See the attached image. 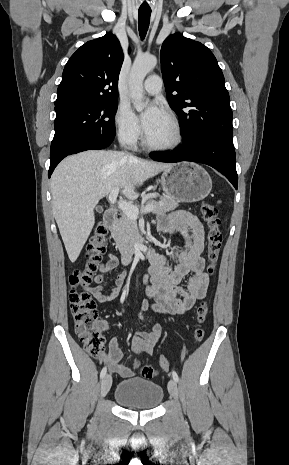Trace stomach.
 <instances>
[{"label": "stomach", "mask_w": 289, "mask_h": 465, "mask_svg": "<svg viewBox=\"0 0 289 465\" xmlns=\"http://www.w3.org/2000/svg\"><path fill=\"white\" fill-rule=\"evenodd\" d=\"M161 185L165 194L170 198L178 202L193 203L209 195L212 180L200 165L181 162L163 171Z\"/></svg>", "instance_id": "0dacf381"}]
</instances>
